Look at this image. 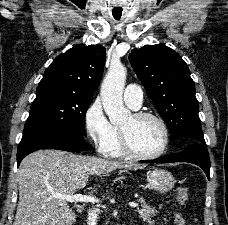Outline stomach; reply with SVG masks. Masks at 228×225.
<instances>
[{"label":"stomach","instance_id":"obj_1","mask_svg":"<svg viewBox=\"0 0 228 225\" xmlns=\"http://www.w3.org/2000/svg\"><path fill=\"white\" fill-rule=\"evenodd\" d=\"M148 189L157 191V193H168L175 185V179L169 171L163 169H154L147 177Z\"/></svg>","mask_w":228,"mask_h":225}]
</instances>
